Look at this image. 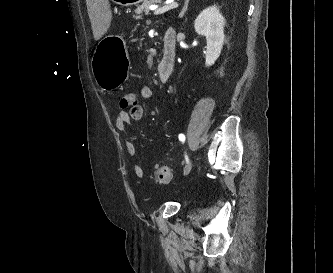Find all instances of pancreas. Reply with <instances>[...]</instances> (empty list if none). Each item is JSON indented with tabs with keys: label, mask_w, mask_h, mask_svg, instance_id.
Returning a JSON list of instances; mask_svg holds the SVG:
<instances>
[{
	"label": "pancreas",
	"mask_w": 333,
	"mask_h": 273,
	"mask_svg": "<svg viewBox=\"0 0 333 273\" xmlns=\"http://www.w3.org/2000/svg\"><path fill=\"white\" fill-rule=\"evenodd\" d=\"M160 1L161 0H145L144 3L135 10V15L133 17L137 20L142 19L143 15H148L150 5Z\"/></svg>",
	"instance_id": "pancreas-1"
}]
</instances>
